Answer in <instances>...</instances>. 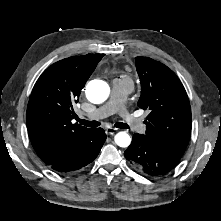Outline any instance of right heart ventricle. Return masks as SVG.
<instances>
[{"instance_id":"e07e8e85","label":"right heart ventricle","mask_w":221,"mask_h":221,"mask_svg":"<svg viewBox=\"0 0 221 221\" xmlns=\"http://www.w3.org/2000/svg\"><path fill=\"white\" fill-rule=\"evenodd\" d=\"M118 80H124V81H129V82H131L130 79H129L128 77H126V76H122V77H120Z\"/></svg>"}]
</instances>
